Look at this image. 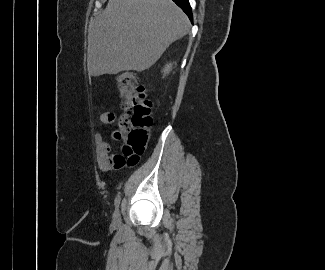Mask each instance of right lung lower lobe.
<instances>
[{
	"label": "right lung lower lobe",
	"instance_id": "right-lung-lower-lobe-1",
	"mask_svg": "<svg viewBox=\"0 0 325 270\" xmlns=\"http://www.w3.org/2000/svg\"><path fill=\"white\" fill-rule=\"evenodd\" d=\"M179 7L183 9V11L187 14V16L192 20V12L191 7L188 0H173Z\"/></svg>",
	"mask_w": 325,
	"mask_h": 270
}]
</instances>
